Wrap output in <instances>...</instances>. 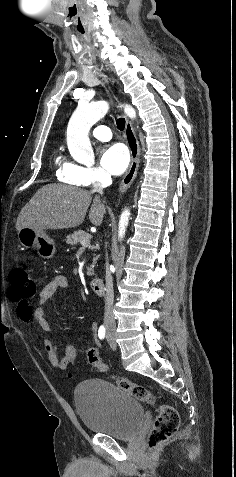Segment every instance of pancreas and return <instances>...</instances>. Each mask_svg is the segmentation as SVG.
Returning a JSON list of instances; mask_svg holds the SVG:
<instances>
[{
  "instance_id": "obj_1",
  "label": "pancreas",
  "mask_w": 236,
  "mask_h": 477,
  "mask_svg": "<svg viewBox=\"0 0 236 477\" xmlns=\"http://www.w3.org/2000/svg\"><path fill=\"white\" fill-rule=\"evenodd\" d=\"M84 239H87L88 241L91 239V236L90 234H88L87 232L83 231V230H78L76 232H74L72 235H69L67 236L66 238V243L67 244H70V245H76L78 243H81L82 240ZM89 247L90 246V243L88 244ZM94 249V247H92ZM96 259H94V263H95ZM93 266H91L88 270V275L91 276L93 275V270H92Z\"/></svg>"
}]
</instances>
